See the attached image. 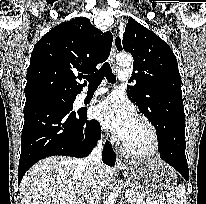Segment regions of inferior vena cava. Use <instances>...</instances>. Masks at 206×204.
I'll use <instances>...</instances> for the list:
<instances>
[{
    "instance_id": "obj_1",
    "label": "inferior vena cava",
    "mask_w": 206,
    "mask_h": 204,
    "mask_svg": "<svg viewBox=\"0 0 206 204\" xmlns=\"http://www.w3.org/2000/svg\"><path fill=\"white\" fill-rule=\"evenodd\" d=\"M104 146V139L98 141L97 146L94 147L88 157L84 159V164L87 169V192L84 204H99V199L102 193L101 176L103 171L102 151Z\"/></svg>"
}]
</instances>
